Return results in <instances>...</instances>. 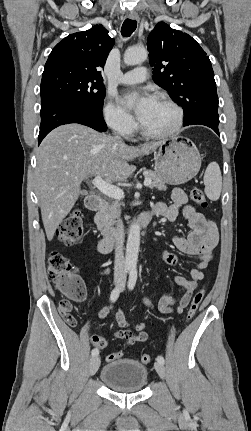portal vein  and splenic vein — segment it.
Instances as JSON below:
<instances>
[{"label":"portal vein and splenic vein","instance_id":"obj_1","mask_svg":"<svg viewBox=\"0 0 251 431\" xmlns=\"http://www.w3.org/2000/svg\"><path fill=\"white\" fill-rule=\"evenodd\" d=\"M91 182L101 193L106 196L116 200H121L124 198V192L121 188L104 181L101 176H96ZM150 184L151 179L145 178L144 185L149 186Z\"/></svg>","mask_w":251,"mask_h":431}]
</instances>
